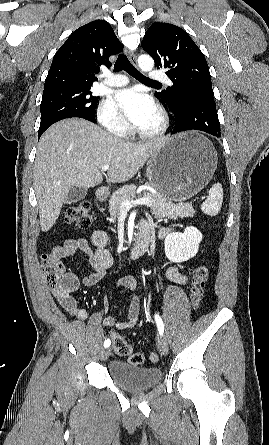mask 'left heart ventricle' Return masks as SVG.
<instances>
[{"instance_id":"left-heart-ventricle-1","label":"left heart ventricle","mask_w":269,"mask_h":445,"mask_svg":"<svg viewBox=\"0 0 269 445\" xmlns=\"http://www.w3.org/2000/svg\"><path fill=\"white\" fill-rule=\"evenodd\" d=\"M160 124V119L158 113H156L151 119H149L145 124L139 127L143 131H153Z\"/></svg>"}]
</instances>
